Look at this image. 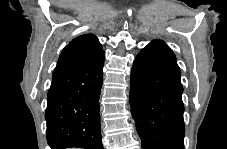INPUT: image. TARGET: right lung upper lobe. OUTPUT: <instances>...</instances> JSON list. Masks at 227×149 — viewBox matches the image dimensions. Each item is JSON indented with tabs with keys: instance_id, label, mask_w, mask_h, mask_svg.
<instances>
[{
	"instance_id": "cb5924a9",
	"label": "right lung upper lobe",
	"mask_w": 227,
	"mask_h": 149,
	"mask_svg": "<svg viewBox=\"0 0 227 149\" xmlns=\"http://www.w3.org/2000/svg\"><path fill=\"white\" fill-rule=\"evenodd\" d=\"M105 53L97 37L93 34H84L74 38L59 56L53 77L59 74L95 64Z\"/></svg>"
}]
</instances>
